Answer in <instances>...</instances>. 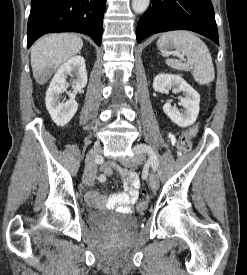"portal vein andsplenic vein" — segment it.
I'll list each match as a JSON object with an SVG mask.
<instances>
[{"instance_id":"1","label":"portal vein and splenic vein","mask_w":247,"mask_h":275,"mask_svg":"<svg viewBox=\"0 0 247 275\" xmlns=\"http://www.w3.org/2000/svg\"><path fill=\"white\" fill-rule=\"evenodd\" d=\"M179 57H180L182 60L184 59L183 55H179Z\"/></svg>"}]
</instances>
